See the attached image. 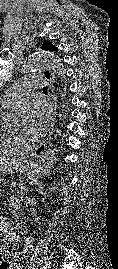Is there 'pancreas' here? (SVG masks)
<instances>
[{
  "label": "pancreas",
  "mask_w": 118,
  "mask_h": 269,
  "mask_svg": "<svg viewBox=\"0 0 118 269\" xmlns=\"http://www.w3.org/2000/svg\"><path fill=\"white\" fill-rule=\"evenodd\" d=\"M12 189V183H9V187H1V192H10Z\"/></svg>",
  "instance_id": "obj_1"
}]
</instances>
